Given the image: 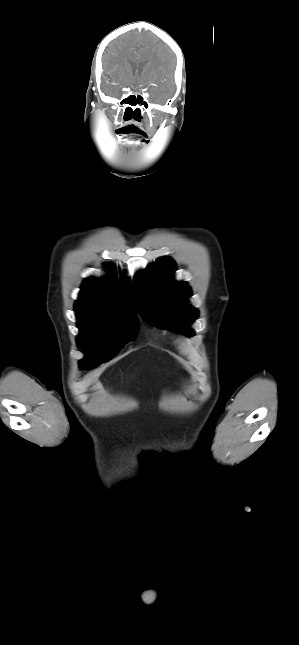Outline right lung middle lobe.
I'll return each instance as SVG.
<instances>
[{
    "label": "right lung middle lobe",
    "instance_id": "dd1d6c3e",
    "mask_svg": "<svg viewBox=\"0 0 299 645\" xmlns=\"http://www.w3.org/2000/svg\"><path fill=\"white\" fill-rule=\"evenodd\" d=\"M80 334L78 347L86 354L80 360V368L93 369L109 361L123 346L135 339L138 318L125 313L111 311H78Z\"/></svg>",
    "mask_w": 299,
    "mask_h": 645
}]
</instances>
